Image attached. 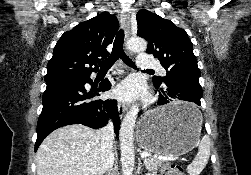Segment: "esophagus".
Masks as SVG:
<instances>
[{
	"instance_id": "esophagus-1",
	"label": "esophagus",
	"mask_w": 251,
	"mask_h": 175,
	"mask_svg": "<svg viewBox=\"0 0 251 175\" xmlns=\"http://www.w3.org/2000/svg\"><path fill=\"white\" fill-rule=\"evenodd\" d=\"M120 23H121V27L124 30L125 33V47L128 50V39L130 37V18L127 14H122L120 17ZM126 111V105L122 102H118V113L120 115V117L122 118L124 113Z\"/></svg>"
}]
</instances>
